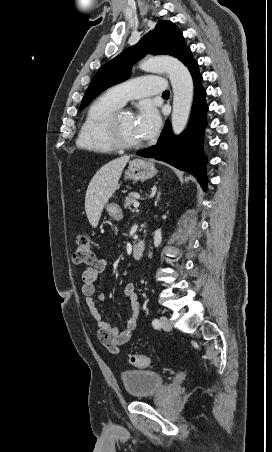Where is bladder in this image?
<instances>
[{
    "label": "bladder",
    "instance_id": "31cf9c89",
    "mask_svg": "<svg viewBox=\"0 0 272 452\" xmlns=\"http://www.w3.org/2000/svg\"><path fill=\"white\" fill-rule=\"evenodd\" d=\"M120 381L132 398H146L158 393L164 386V377L150 369L123 370Z\"/></svg>",
    "mask_w": 272,
    "mask_h": 452
}]
</instances>
